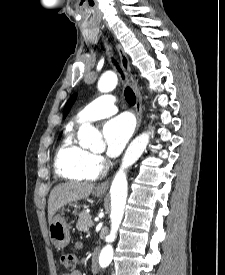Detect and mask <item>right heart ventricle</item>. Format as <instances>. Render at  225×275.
<instances>
[{"label": "right heart ventricle", "instance_id": "1", "mask_svg": "<svg viewBox=\"0 0 225 275\" xmlns=\"http://www.w3.org/2000/svg\"><path fill=\"white\" fill-rule=\"evenodd\" d=\"M56 172L69 180H93L99 174L94 165L93 154L76 142L68 132L61 140L54 159Z\"/></svg>", "mask_w": 225, "mask_h": 275}]
</instances>
